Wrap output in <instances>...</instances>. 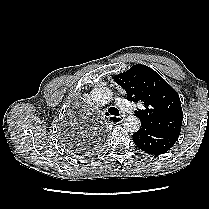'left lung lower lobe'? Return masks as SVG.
<instances>
[{
	"mask_svg": "<svg viewBox=\"0 0 209 209\" xmlns=\"http://www.w3.org/2000/svg\"><path fill=\"white\" fill-rule=\"evenodd\" d=\"M178 137L179 135L160 131L141 123V128L133 134V141L145 153L160 155L166 153Z\"/></svg>",
	"mask_w": 209,
	"mask_h": 209,
	"instance_id": "0a47b994",
	"label": "left lung lower lobe"
}]
</instances>
